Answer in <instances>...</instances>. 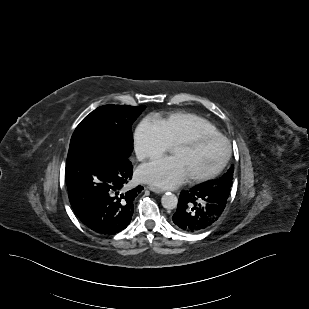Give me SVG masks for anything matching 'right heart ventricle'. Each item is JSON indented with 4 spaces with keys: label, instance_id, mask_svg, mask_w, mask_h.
<instances>
[{
    "label": "right heart ventricle",
    "instance_id": "1",
    "mask_svg": "<svg viewBox=\"0 0 309 309\" xmlns=\"http://www.w3.org/2000/svg\"><path fill=\"white\" fill-rule=\"evenodd\" d=\"M155 122L161 128L169 145L197 131L219 133L210 121L189 112H176L157 117Z\"/></svg>",
    "mask_w": 309,
    "mask_h": 309
}]
</instances>
